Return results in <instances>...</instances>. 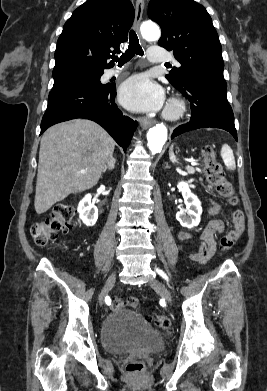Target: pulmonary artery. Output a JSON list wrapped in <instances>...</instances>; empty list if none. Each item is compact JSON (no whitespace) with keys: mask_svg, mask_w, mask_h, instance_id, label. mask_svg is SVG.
Masks as SVG:
<instances>
[{"mask_svg":"<svg viewBox=\"0 0 267 391\" xmlns=\"http://www.w3.org/2000/svg\"><path fill=\"white\" fill-rule=\"evenodd\" d=\"M148 58L151 62L160 63L172 60L176 65H179L177 61L173 59V57L166 52L163 48L154 46L151 47L148 51ZM123 69H111L107 72L108 77H112L120 74Z\"/></svg>","mask_w":267,"mask_h":391,"instance_id":"pulmonary-artery-1","label":"pulmonary artery"}]
</instances>
